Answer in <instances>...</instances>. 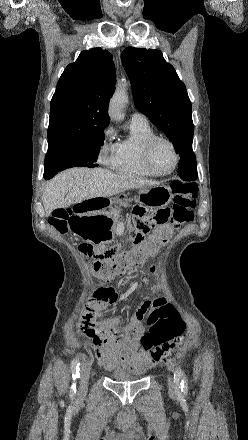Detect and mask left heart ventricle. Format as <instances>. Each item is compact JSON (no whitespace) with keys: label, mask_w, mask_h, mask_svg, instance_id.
Returning <instances> with one entry per match:
<instances>
[{"label":"left heart ventricle","mask_w":248,"mask_h":440,"mask_svg":"<svg viewBox=\"0 0 248 440\" xmlns=\"http://www.w3.org/2000/svg\"><path fill=\"white\" fill-rule=\"evenodd\" d=\"M151 161L154 168L160 172L169 171L174 165V154L172 149L166 143H158L151 156Z\"/></svg>","instance_id":"1"}]
</instances>
